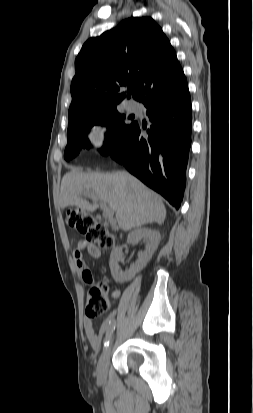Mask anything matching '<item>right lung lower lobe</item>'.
Listing matches in <instances>:
<instances>
[{"label":"right lung lower lobe","mask_w":253,"mask_h":413,"mask_svg":"<svg viewBox=\"0 0 253 413\" xmlns=\"http://www.w3.org/2000/svg\"><path fill=\"white\" fill-rule=\"evenodd\" d=\"M150 118L147 134L136 122L124 139L107 155L180 207L191 146L192 106L188 87L180 93L143 103Z\"/></svg>","instance_id":"1"}]
</instances>
